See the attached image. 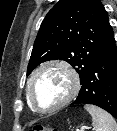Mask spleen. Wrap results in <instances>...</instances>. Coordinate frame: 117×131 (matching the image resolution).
Returning <instances> with one entry per match:
<instances>
[{
	"instance_id": "3e777b00",
	"label": "spleen",
	"mask_w": 117,
	"mask_h": 131,
	"mask_svg": "<svg viewBox=\"0 0 117 131\" xmlns=\"http://www.w3.org/2000/svg\"><path fill=\"white\" fill-rule=\"evenodd\" d=\"M84 108L92 116L94 131H117V123L108 112L90 104H86Z\"/></svg>"
}]
</instances>
